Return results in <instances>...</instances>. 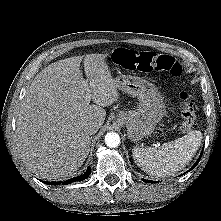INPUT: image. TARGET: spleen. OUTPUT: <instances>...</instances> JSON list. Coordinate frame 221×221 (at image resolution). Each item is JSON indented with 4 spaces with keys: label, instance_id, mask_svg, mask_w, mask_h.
Returning <instances> with one entry per match:
<instances>
[{
    "label": "spleen",
    "instance_id": "3e777b00",
    "mask_svg": "<svg viewBox=\"0 0 221 221\" xmlns=\"http://www.w3.org/2000/svg\"><path fill=\"white\" fill-rule=\"evenodd\" d=\"M201 140L200 131H191L160 147H135L132 154L135 163L147 174L156 177L171 176L182 170L192 160Z\"/></svg>",
    "mask_w": 221,
    "mask_h": 221
}]
</instances>
